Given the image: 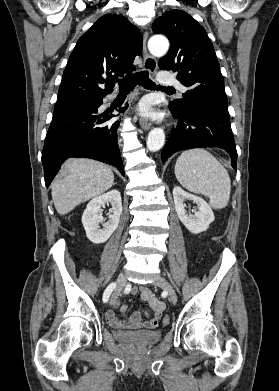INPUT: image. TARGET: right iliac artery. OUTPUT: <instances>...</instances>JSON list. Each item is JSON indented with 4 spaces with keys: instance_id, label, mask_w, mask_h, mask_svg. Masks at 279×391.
<instances>
[{
    "instance_id": "obj_1",
    "label": "right iliac artery",
    "mask_w": 279,
    "mask_h": 391,
    "mask_svg": "<svg viewBox=\"0 0 279 391\" xmlns=\"http://www.w3.org/2000/svg\"><path fill=\"white\" fill-rule=\"evenodd\" d=\"M115 287H116V283H111V284L106 288V290L104 291V294H103V301H104L105 303L109 300L110 294H111L112 291L115 289Z\"/></svg>"
}]
</instances>
